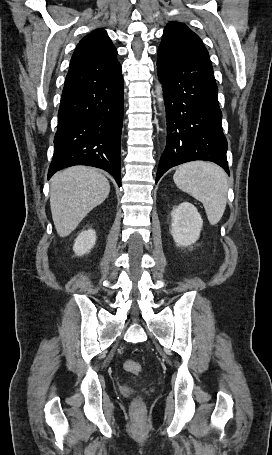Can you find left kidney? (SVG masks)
I'll return each mask as SVG.
<instances>
[{
  "label": "left kidney",
  "mask_w": 272,
  "mask_h": 455,
  "mask_svg": "<svg viewBox=\"0 0 272 455\" xmlns=\"http://www.w3.org/2000/svg\"><path fill=\"white\" fill-rule=\"evenodd\" d=\"M171 216V234L176 245L186 247L195 243L203 226L197 208L189 202H183L174 208Z\"/></svg>",
  "instance_id": "left-kidney-1"
}]
</instances>
